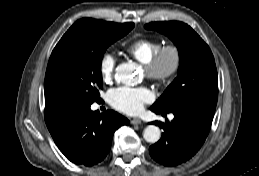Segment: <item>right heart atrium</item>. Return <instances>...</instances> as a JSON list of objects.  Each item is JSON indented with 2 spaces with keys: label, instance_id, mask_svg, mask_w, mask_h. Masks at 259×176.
I'll return each mask as SVG.
<instances>
[{
  "label": "right heart atrium",
  "instance_id": "obj_1",
  "mask_svg": "<svg viewBox=\"0 0 259 176\" xmlns=\"http://www.w3.org/2000/svg\"><path fill=\"white\" fill-rule=\"evenodd\" d=\"M117 59L110 53L105 52L99 61V74L105 83H110L114 77Z\"/></svg>",
  "mask_w": 259,
  "mask_h": 176
}]
</instances>
